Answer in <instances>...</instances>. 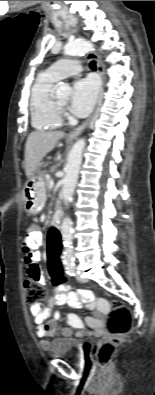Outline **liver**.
<instances>
[{
  "label": "liver",
  "mask_w": 155,
  "mask_h": 395,
  "mask_svg": "<svg viewBox=\"0 0 155 395\" xmlns=\"http://www.w3.org/2000/svg\"><path fill=\"white\" fill-rule=\"evenodd\" d=\"M65 137L62 131H33L25 145V173L27 178L36 170L40 161L51 152L57 142Z\"/></svg>",
  "instance_id": "1"
}]
</instances>
